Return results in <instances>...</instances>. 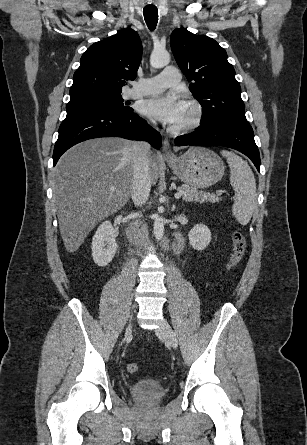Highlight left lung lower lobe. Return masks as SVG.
<instances>
[{
    "label": "left lung lower lobe",
    "instance_id": "left-lung-lower-lobe-1",
    "mask_svg": "<svg viewBox=\"0 0 307 445\" xmlns=\"http://www.w3.org/2000/svg\"><path fill=\"white\" fill-rule=\"evenodd\" d=\"M177 146L219 145L236 149L248 156L260 171V155L252 127L247 121L226 119L201 125L196 131L178 136Z\"/></svg>",
    "mask_w": 307,
    "mask_h": 445
}]
</instances>
